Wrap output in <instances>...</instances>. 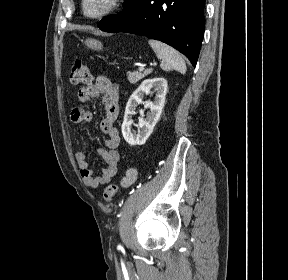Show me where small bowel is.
<instances>
[{
	"instance_id": "small-bowel-1",
	"label": "small bowel",
	"mask_w": 288,
	"mask_h": 280,
	"mask_svg": "<svg viewBox=\"0 0 288 280\" xmlns=\"http://www.w3.org/2000/svg\"><path fill=\"white\" fill-rule=\"evenodd\" d=\"M99 97L105 106V115L100 121V129L107 136L105 148L97 150V154L106 164L101 175H94L83 147H79L76 152V161L82 181L85 186L93 189L111 181L118 172L121 158L120 134L115 127V121L119 114L118 86L103 75L98 76L94 83L83 86L78 91V98L82 103H88ZM70 119L75 124L88 123L93 119V114L83 107H75L71 111Z\"/></svg>"
}]
</instances>
